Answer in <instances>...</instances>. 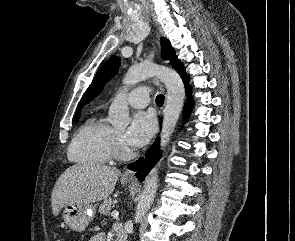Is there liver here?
Masks as SVG:
<instances>
[{
    "mask_svg": "<svg viewBox=\"0 0 295 241\" xmlns=\"http://www.w3.org/2000/svg\"><path fill=\"white\" fill-rule=\"evenodd\" d=\"M120 172L101 164H76L59 177L51 194L55 216L71 204H91L107 199L114 191Z\"/></svg>",
    "mask_w": 295,
    "mask_h": 241,
    "instance_id": "obj_1",
    "label": "liver"
}]
</instances>
